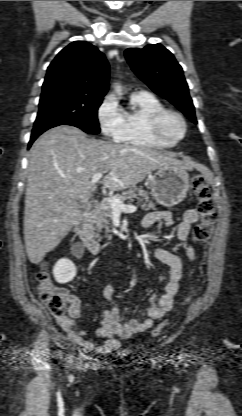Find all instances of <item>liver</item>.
I'll return each instance as SVG.
<instances>
[{"label":"liver","mask_w":242,"mask_h":416,"mask_svg":"<svg viewBox=\"0 0 242 416\" xmlns=\"http://www.w3.org/2000/svg\"><path fill=\"white\" fill-rule=\"evenodd\" d=\"M190 168L151 148L88 138L80 129L61 125L33 144L25 193L24 240L31 263H40L70 232L96 186L90 179L109 172L105 187L119 191L142 182L162 166Z\"/></svg>","instance_id":"obj_1"}]
</instances>
